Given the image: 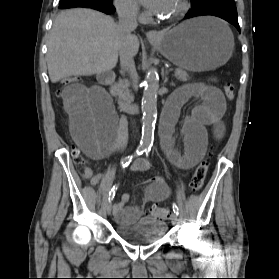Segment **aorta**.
Here are the masks:
<instances>
[{
  "instance_id": "762f6f07",
  "label": "aorta",
  "mask_w": 279,
  "mask_h": 279,
  "mask_svg": "<svg viewBox=\"0 0 279 279\" xmlns=\"http://www.w3.org/2000/svg\"><path fill=\"white\" fill-rule=\"evenodd\" d=\"M159 88V75L157 69H147L145 88L141 103L142 117V139L143 146H149L153 142L154 128L157 116V91Z\"/></svg>"
}]
</instances>
